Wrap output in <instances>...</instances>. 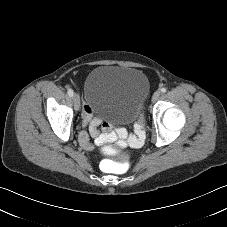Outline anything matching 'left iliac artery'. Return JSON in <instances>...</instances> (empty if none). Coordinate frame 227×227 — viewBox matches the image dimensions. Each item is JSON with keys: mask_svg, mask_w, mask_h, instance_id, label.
<instances>
[{"mask_svg": "<svg viewBox=\"0 0 227 227\" xmlns=\"http://www.w3.org/2000/svg\"><path fill=\"white\" fill-rule=\"evenodd\" d=\"M167 91V89L165 88V87H163L162 89H161V92L162 93H165Z\"/></svg>", "mask_w": 227, "mask_h": 227, "instance_id": "obj_1", "label": "left iliac artery"}]
</instances>
